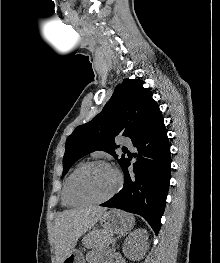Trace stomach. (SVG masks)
Here are the masks:
<instances>
[{
	"mask_svg": "<svg viewBox=\"0 0 220 263\" xmlns=\"http://www.w3.org/2000/svg\"><path fill=\"white\" fill-rule=\"evenodd\" d=\"M99 222L103 230L111 236L113 234H126L133 228L135 220L132 215L126 212L112 209L103 212L99 217ZM63 263H85V259L80 250L73 248Z\"/></svg>",
	"mask_w": 220,
	"mask_h": 263,
	"instance_id": "stomach-1",
	"label": "stomach"
}]
</instances>
